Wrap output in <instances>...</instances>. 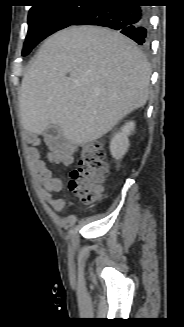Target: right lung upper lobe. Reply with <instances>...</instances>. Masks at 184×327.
<instances>
[{"mask_svg": "<svg viewBox=\"0 0 184 327\" xmlns=\"http://www.w3.org/2000/svg\"><path fill=\"white\" fill-rule=\"evenodd\" d=\"M36 3H42V2H47V1H51V0H34ZM33 7V6H32Z\"/></svg>", "mask_w": 184, "mask_h": 327, "instance_id": "cb5924a9", "label": "right lung upper lobe"}]
</instances>
